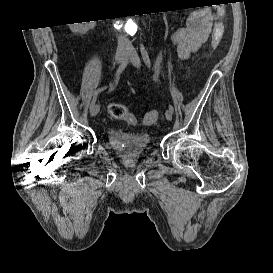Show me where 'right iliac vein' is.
Segmentation results:
<instances>
[{
  "label": "right iliac vein",
  "instance_id": "obj_1",
  "mask_svg": "<svg viewBox=\"0 0 273 273\" xmlns=\"http://www.w3.org/2000/svg\"><path fill=\"white\" fill-rule=\"evenodd\" d=\"M128 52L127 50H119L116 54L115 57V64L119 65L122 63V61L125 59V57L127 56ZM100 106L99 104H95L91 109H90V115L92 117L96 116L99 112Z\"/></svg>",
  "mask_w": 273,
  "mask_h": 273
}]
</instances>
